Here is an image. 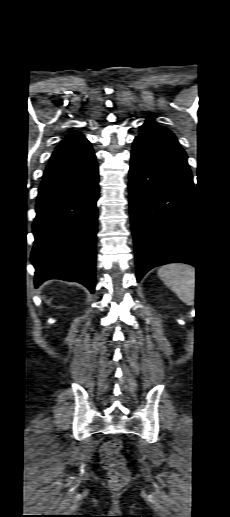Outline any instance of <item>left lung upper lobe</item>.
Returning a JSON list of instances; mask_svg holds the SVG:
<instances>
[{
	"mask_svg": "<svg viewBox=\"0 0 230 517\" xmlns=\"http://www.w3.org/2000/svg\"><path fill=\"white\" fill-rule=\"evenodd\" d=\"M134 141L152 148L172 152L187 159L186 153L180 147L175 135L151 119H147L141 126V132L135 137Z\"/></svg>",
	"mask_w": 230,
	"mask_h": 517,
	"instance_id": "1",
	"label": "left lung upper lobe"
}]
</instances>
